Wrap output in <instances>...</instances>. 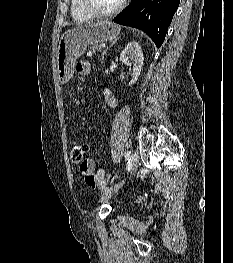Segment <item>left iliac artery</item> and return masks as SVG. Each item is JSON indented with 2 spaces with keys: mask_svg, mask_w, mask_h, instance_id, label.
Listing matches in <instances>:
<instances>
[{
  "mask_svg": "<svg viewBox=\"0 0 233 263\" xmlns=\"http://www.w3.org/2000/svg\"><path fill=\"white\" fill-rule=\"evenodd\" d=\"M131 157V151H127L125 154V159H129ZM114 179V178H113Z\"/></svg>",
  "mask_w": 233,
  "mask_h": 263,
  "instance_id": "1",
  "label": "left iliac artery"
}]
</instances>
